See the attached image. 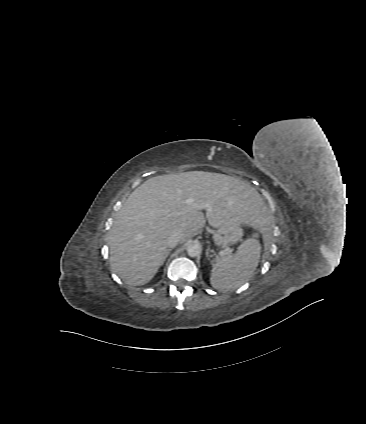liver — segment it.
Returning a JSON list of instances; mask_svg holds the SVG:
<instances>
[{
  "label": "liver",
  "mask_w": 366,
  "mask_h": 424,
  "mask_svg": "<svg viewBox=\"0 0 366 424\" xmlns=\"http://www.w3.org/2000/svg\"><path fill=\"white\" fill-rule=\"evenodd\" d=\"M210 226L249 224L264 230V201L248 183L219 173L189 171L148 179L120 208L108 236L112 269L133 285L148 283L168 255V237L184 242Z\"/></svg>",
  "instance_id": "liver-1"
}]
</instances>
